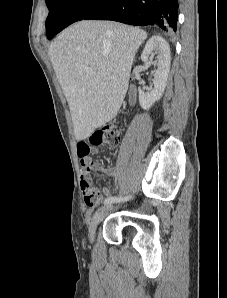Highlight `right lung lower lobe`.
Masks as SVG:
<instances>
[{
  "instance_id": "1",
  "label": "right lung lower lobe",
  "mask_w": 227,
  "mask_h": 298,
  "mask_svg": "<svg viewBox=\"0 0 227 298\" xmlns=\"http://www.w3.org/2000/svg\"><path fill=\"white\" fill-rule=\"evenodd\" d=\"M178 0H103L83 19L114 20L130 25H157L176 31Z\"/></svg>"
}]
</instances>
